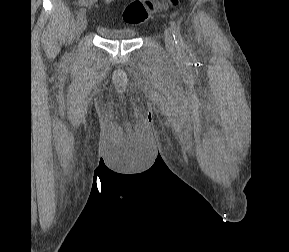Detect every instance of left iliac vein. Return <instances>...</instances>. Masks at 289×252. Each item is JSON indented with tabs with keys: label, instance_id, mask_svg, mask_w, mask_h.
Returning a JSON list of instances; mask_svg holds the SVG:
<instances>
[{
	"label": "left iliac vein",
	"instance_id": "1",
	"mask_svg": "<svg viewBox=\"0 0 289 252\" xmlns=\"http://www.w3.org/2000/svg\"><path fill=\"white\" fill-rule=\"evenodd\" d=\"M164 40L167 50L173 52L175 50V42L169 30H165Z\"/></svg>",
	"mask_w": 289,
	"mask_h": 252
}]
</instances>
